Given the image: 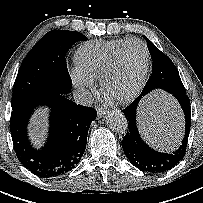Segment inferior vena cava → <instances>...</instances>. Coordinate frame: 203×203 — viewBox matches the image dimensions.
Wrapping results in <instances>:
<instances>
[{
	"mask_svg": "<svg viewBox=\"0 0 203 203\" xmlns=\"http://www.w3.org/2000/svg\"><path fill=\"white\" fill-rule=\"evenodd\" d=\"M74 100L77 104L81 105H91L92 104V94L83 88H79L73 92Z\"/></svg>",
	"mask_w": 203,
	"mask_h": 203,
	"instance_id": "inferior-vena-cava-1",
	"label": "inferior vena cava"
}]
</instances>
